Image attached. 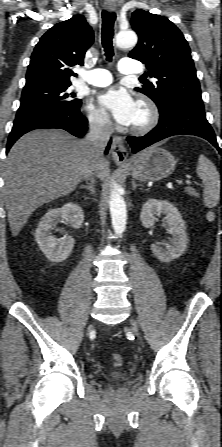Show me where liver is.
Segmentation results:
<instances>
[{"label": "liver", "instance_id": "liver-1", "mask_svg": "<svg viewBox=\"0 0 222 447\" xmlns=\"http://www.w3.org/2000/svg\"><path fill=\"white\" fill-rule=\"evenodd\" d=\"M94 158L85 140L59 129L36 130L22 136L4 164V200L13 236L19 234L41 205L71 193ZM96 175L107 174L105 159L96 163Z\"/></svg>", "mask_w": 222, "mask_h": 447}]
</instances>
